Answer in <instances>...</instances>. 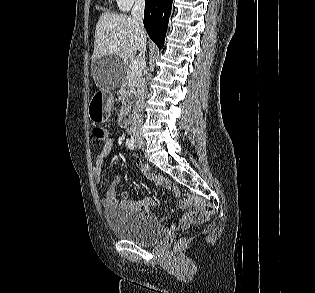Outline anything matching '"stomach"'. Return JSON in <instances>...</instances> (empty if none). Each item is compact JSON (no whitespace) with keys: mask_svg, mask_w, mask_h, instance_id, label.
<instances>
[{"mask_svg":"<svg viewBox=\"0 0 315 293\" xmlns=\"http://www.w3.org/2000/svg\"><path fill=\"white\" fill-rule=\"evenodd\" d=\"M113 105L111 93L97 92L89 105V117L93 122H104L108 119Z\"/></svg>","mask_w":315,"mask_h":293,"instance_id":"obj_1","label":"stomach"}]
</instances>
